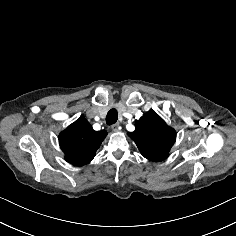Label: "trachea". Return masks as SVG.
I'll return each instance as SVG.
<instances>
[{
    "label": "trachea",
    "mask_w": 236,
    "mask_h": 236,
    "mask_svg": "<svg viewBox=\"0 0 236 236\" xmlns=\"http://www.w3.org/2000/svg\"><path fill=\"white\" fill-rule=\"evenodd\" d=\"M118 119V113L116 109H110L106 116V124L111 126L116 123Z\"/></svg>",
    "instance_id": "obj_1"
}]
</instances>
